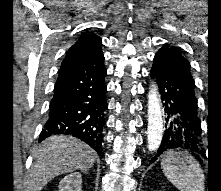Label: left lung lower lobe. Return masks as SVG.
I'll return each instance as SVG.
<instances>
[{
    "label": "left lung lower lobe",
    "instance_id": "left-lung-lower-lobe-1",
    "mask_svg": "<svg viewBox=\"0 0 221 191\" xmlns=\"http://www.w3.org/2000/svg\"><path fill=\"white\" fill-rule=\"evenodd\" d=\"M150 75L158 84L167 115L166 130L150 163L173 149H185L204 155L190 63L176 47L166 43L156 53Z\"/></svg>",
    "mask_w": 221,
    "mask_h": 191
}]
</instances>
